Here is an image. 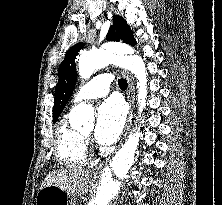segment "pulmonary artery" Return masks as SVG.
Returning <instances> with one entry per match:
<instances>
[{"label":"pulmonary artery","mask_w":222,"mask_h":205,"mask_svg":"<svg viewBox=\"0 0 222 205\" xmlns=\"http://www.w3.org/2000/svg\"><path fill=\"white\" fill-rule=\"evenodd\" d=\"M110 83L111 79L108 78L105 73L95 76L77 91L72 99V104L101 98L107 95L110 89Z\"/></svg>","instance_id":"pulmonary-artery-1"}]
</instances>
